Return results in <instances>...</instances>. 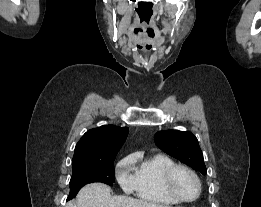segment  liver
Returning a JSON list of instances; mask_svg holds the SVG:
<instances>
[{
  "instance_id": "1",
  "label": "liver",
  "mask_w": 261,
  "mask_h": 207,
  "mask_svg": "<svg viewBox=\"0 0 261 207\" xmlns=\"http://www.w3.org/2000/svg\"><path fill=\"white\" fill-rule=\"evenodd\" d=\"M66 207H168L128 196H112L111 188L103 183H91L78 193L76 202Z\"/></svg>"
}]
</instances>
